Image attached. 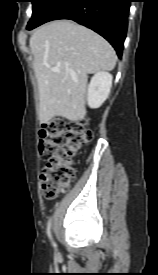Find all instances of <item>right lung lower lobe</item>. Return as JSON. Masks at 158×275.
<instances>
[{
  "instance_id": "98d812e1",
  "label": "right lung lower lobe",
  "mask_w": 158,
  "mask_h": 275,
  "mask_svg": "<svg viewBox=\"0 0 158 275\" xmlns=\"http://www.w3.org/2000/svg\"><path fill=\"white\" fill-rule=\"evenodd\" d=\"M130 0H56L31 30L57 19H71L99 33L122 56Z\"/></svg>"
}]
</instances>
